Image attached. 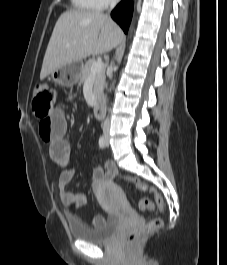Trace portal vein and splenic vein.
I'll list each match as a JSON object with an SVG mask.
<instances>
[{"label":"portal vein and splenic vein","mask_w":227,"mask_h":265,"mask_svg":"<svg viewBox=\"0 0 227 265\" xmlns=\"http://www.w3.org/2000/svg\"><path fill=\"white\" fill-rule=\"evenodd\" d=\"M104 67V63L101 60L96 61L91 67V74L94 75Z\"/></svg>","instance_id":"obj_1"}]
</instances>
